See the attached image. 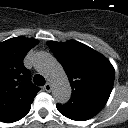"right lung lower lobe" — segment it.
I'll return each mask as SVG.
<instances>
[{"instance_id": "98d812e1", "label": "right lung lower lobe", "mask_w": 128, "mask_h": 128, "mask_svg": "<svg viewBox=\"0 0 128 128\" xmlns=\"http://www.w3.org/2000/svg\"><path fill=\"white\" fill-rule=\"evenodd\" d=\"M31 103L27 104L24 108H22L21 110H19L15 114H13V115H11V116H9V117L1 120V121L5 122V123H11V122H15V121L20 120L30 111Z\"/></svg>"}]
</instances>
